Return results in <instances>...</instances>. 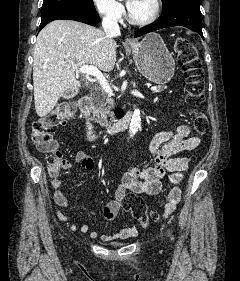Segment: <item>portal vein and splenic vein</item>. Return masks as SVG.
<instances>
[{"instance_id": "portal-vein-and-splenic-vein-1", "label": "portal vein and splenic vein", "mask_w": 240, "mask_h": 281, "mask_svg": "<svg viewBox=\"0 0 240 281\" xmlns=\"http://www.w3.org/2000/svg\"><path fill=\"white\" fill-rule=\"evenodd\" d=\"M76 70L81 73L95 77L99 81L104 92H106L109 96H111L113 94V91H112L110 85L108 84L106 78L96 67L83 65V66H80L79 68L76 67ZM150 90L157 91L158 87L152 86V87H150Z\"/></svg>"}]
</instances>
